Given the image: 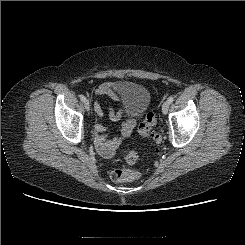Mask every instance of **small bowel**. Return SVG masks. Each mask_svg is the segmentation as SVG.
I'll list each match as a JSON object with an SVG mask.
<instances>
[{
    "label": "small bowel",
    "instance_id": "c3829d8e",
    "mask_svg": "<svg viewBox=\"0 0 245 245\" xmlns=\"http://www.w3.org/2000/svg\"><path fill=\"white\" fill-rule=\"evenodd\" d=\"M117 87L118 84L115 82H105L98 85L95 88V94L106 95L115 100H119V96L116 93ZM94 109L100 117H103L104 114L98 102L94 103ZM108 112L111 120L119 121L122 118L125 111L119 110L116 112L112 108H109ZM141 116L142 113H137L133 117H130L127 120H125L121 126L119 136L109 140L106 139L105 136L107 129L102 125L96 126L95 146L99 154L105 158L113 157L118 147L122 144L123 140H125L127 137H129L132 134Z\"/></svg>",
    "mask_w": 245,
    "mask_h": 245
}]
</instances>
